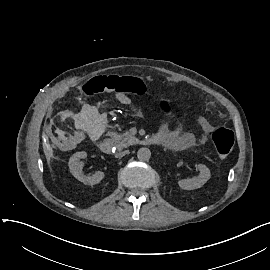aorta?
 Instances as JSON below:
<instances>
[{
  "label": "aorta",
  "instance_id": "1",
  "mask_svg": "<svg viewBox=\"0 0 270 270\" xmlns=\"http://www.w3.org/2000/svg\"><path fill=\"white\" fill-rule=\"evenodd\" d=\"M137 158L140 161H148L151 158V152L148 148H140L137 152Z\"/></svg>",
  "mask_w": 270,
  "mask_h": 270
}]
</instances>
